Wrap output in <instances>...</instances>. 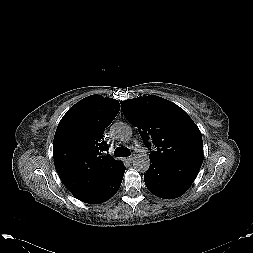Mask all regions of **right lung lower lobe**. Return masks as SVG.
I'll return each mask as SVG.
<instances>
[{"mask_svg": "<svg viewBox=\"0 0 253 253\" xmlns=\"http://www.w3.org/2000/svg\"><path fill=\"white\" fill-rule=\"evenodd\" d=\"M124 172L125 166H123L121 170L108 182L91 191L84 197L79 198V200L89 204H99L107 201L119 190Z\"/></svg>", "mask_w": 253, "mask_h": 253, "instance_id": "obj_1", "label": "right lung lower lobe"}]
</instances>
